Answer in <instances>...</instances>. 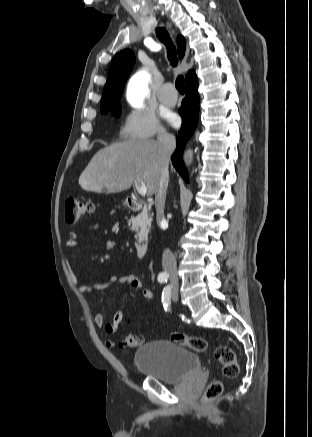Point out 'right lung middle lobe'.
Here are the masks:
<instances>
[{"instance_id":"obj_1","label":"right lung middle lobe","mask_w":312,"mask_h":437,"mask_svg":"<svg viewBox=\"0 0 312 437\" xmlns=\"http://www.w3.org/2000/svg\"><path fill=\"white\" fill-rule=\"evenodd\" d=\"M112 114L115 115L116 117H118L120 115L121 112V107L117 106L115 108H113L112 110ZM103 113H107V112H103Z\"/></svg>"}]
</instances>
